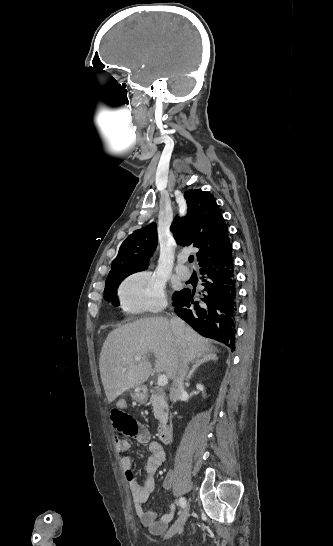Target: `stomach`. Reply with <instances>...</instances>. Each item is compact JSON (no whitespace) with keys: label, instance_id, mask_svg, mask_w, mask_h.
<instances>
[{"label":"stomach","instance_id":"1","mask_svg":"<svg viewBox=\"0 0 333 546\" xmlns=\"http://www.w3.org/2000/svg\"><path fill=\"white\" fill-rule=\"evenodd\" d=\"M130 396L137 403L143 404L147 399V391L144 386L138 385L130 391Z\"/></svg>","mask_w":333,"mask_h":546}]
</instances>
